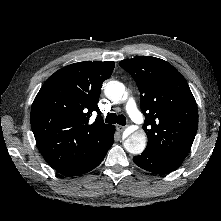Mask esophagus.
I'll list each match as a JSON object with an SVG mask.
<instances>
[{"instance_id": "34e87169", "label": "esophagus", "mask_w": 221, "mask_h": 221, "mask_svg": "<svg viewBox=\"0 0 221 221\" xmlns=\"http://www.w3.org/2000/svg\"><path fill=\"white\" fill-rule=\"evenodd\" d=\"M117 130L119 132H123L125 130V126H122V125H117Z\"/></svg>"}]
</instances>
